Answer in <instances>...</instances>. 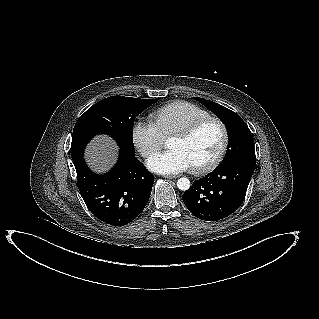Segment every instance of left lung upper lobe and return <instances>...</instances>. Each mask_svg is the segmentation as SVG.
I'll use <instances>...</instances> for the list:
<instances>
[{
	"label": "left lung upper lobe",
	"instance_id": "obj_1",
	"mask_svg": "<svg viewBox=\"0 0 319 319\" xmlns=\"http://www.w3.org/2000/svg\"><path fill=\"white\" fill-rule=\"evenodd\" d=\"M197 101L212 111L226 126L228 148L219 166L234 161H245L256 165L254 139L245 122L230 109L210 100L195 97Z\"/></svg>",
	"mask_w": 319,
	"mask_h": 319
}]
</instances>
